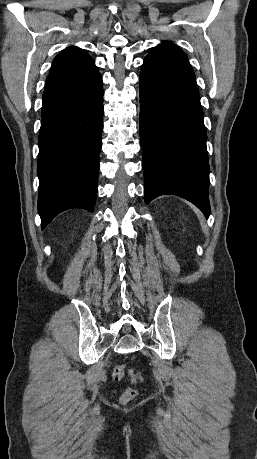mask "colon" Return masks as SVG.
<instances>
[{"label": "colon", "mask_w": 257, "mask_h": 459, "mask_svg": "<svg viewBox=\"0 0 257 459\" xmlns=\"http://www.w3.org/2000/svg\"><path fill=\"white\" fill-rule=\"evenodd\" d=\"M126 374L128 375H133L134 372L133 370H128L126 372V370L124 369V367L120 366V365H117L113 368V371H112V375L114 377L115 380H121L123 379ZM138 392L135 388H132V387H128L124 390L122 396H121V402L122 403H128L130 401H132L133 399L136 398Z\"/></svg>", "instance_id": "colon-1"}]
</instances>
